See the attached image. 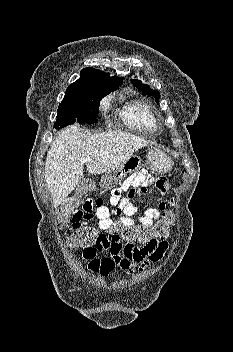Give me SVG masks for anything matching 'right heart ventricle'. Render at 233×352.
<instances>
[{"label": "right heart ventricle", "mask_w": 233, "mask_h": 352, "mask_svg": "<svg viewBox=\"0 0 233 352\" xmlns=\"http://www.w3.org/2000/svg\"><path fill=\"white\" fill-rule=\"evenodd\" d=\"M123 123L130 129L152 131L156 117L150 107L142 101H133L124 106L120 113Z\"/></svg>", "instance_id": "e07e8e85"}]
</instances>
